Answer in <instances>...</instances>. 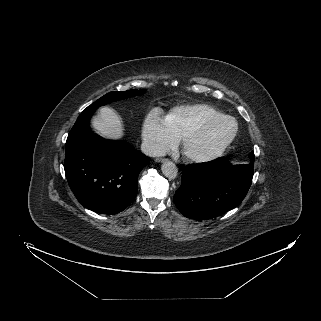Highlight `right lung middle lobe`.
Here are the masks:
<instances>
[{
	"label": "right lung middle lobe",
	"mask_w": 321,
	"mask_h": 321,
	"mask_svg": "<svg viewBox=\"0 0 321 321\" xmlns=\"http://www.w3.org/2000/svg\"><path fill=\"white\" fill-rule=\"evenodd\" d=\"M145 92V90H127L123 92H109L103 97L99 98L96 102L88 106L83 112H92L94 113L96 109H98L102 105H106L108 103L126 99L129 97L141 95Z\"/></svg>",
	"instance_id": "1"
}]
</instances>
